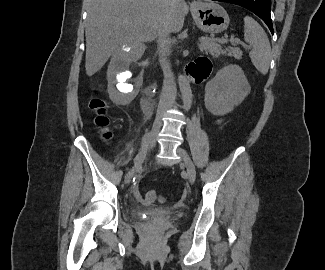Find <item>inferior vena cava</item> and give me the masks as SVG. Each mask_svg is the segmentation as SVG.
<instances>
[{
  "label": "inferior vena cava",
  "mask_w": 325,
  "mask_h": 270,
  "mask_svg": "<svg viewBox=\"0 0 325 270\" xmlns=\"http://www.w3.org/2000/svg\"><path fill=\"white\" fill-rule=\"evenodd\" d=\"M173 2H175V0H164V4L166 6L171 5ZM158 44L159 52L161 54L160 62L164 71V83L156 116V120L160 121L161 117L166 113V111L174 105L176 97L174 75L168 60L170 51L169 31L164 21L161 23L158 32Z\"/></svg>",
  "instance_id": "1"
}]
</instances>
